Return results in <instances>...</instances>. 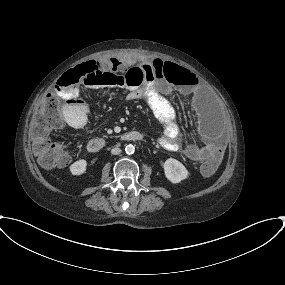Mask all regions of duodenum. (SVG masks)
I'll return each instance as SVG.
<instances>
[{
	"instance_id": "410a0bca",
	"label": "duodenum",
	"mask_w": 285,
	"mask_h": 285,
	"mask_svg": "<svg viewBox=\"0 0 285 285\" xmlns=\"http://www.w3.org/2000/svg\"><path fill=\"white\" fill-rule=\"evenodd\" d=\"M120 139L126 142H138L142 141L144 139V136L139 131L132 130L124 133ZM108 144V140L104 138L92 139L88 143V150L91 153H97L104 150L108 146Z\"/></svg>"
}]
</instances>
